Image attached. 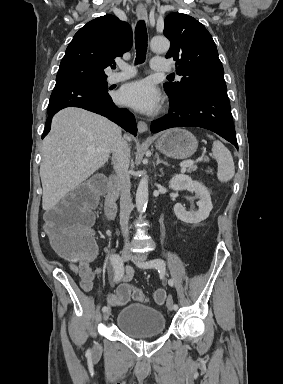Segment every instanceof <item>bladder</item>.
<instances>
[{
  "instance_id": "31cf9c89",
  "label": "bladder",
  "mask_w": 283,
  "mask_h": 384,
  "mask_svg": "<svg viewBox=\"0 0 283 384\" xmlns=\"http://www.w3.org/2000/svg\"><path fill=\"white\" fill-rule=\"evenodd\" d=\"M115 326L130 338L155 337L165 332L166 318L159 308L129 303L120 309Z\"/></svg>"
}]
</instances>
